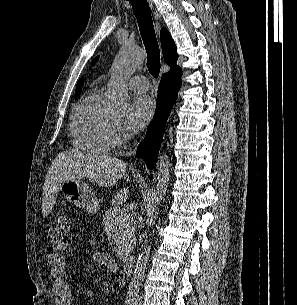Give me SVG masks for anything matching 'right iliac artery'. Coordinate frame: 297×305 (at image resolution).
<instances>
[{"instance_id": "right-iliac-artery-1", "label": "right iliac artery", "mask_w": 297, "mask_h": 305, "mask_svg": "<svg viewBox=\"0 0 297 305\" xmlns=\"http://www.w3.org/2000/svg\"><path fill=\"white\" fill-rule=\"evenodd\" d=\"M135 303V298L132 296H129L125 300V305H134Z\"/></svg>"}]
</instances>
